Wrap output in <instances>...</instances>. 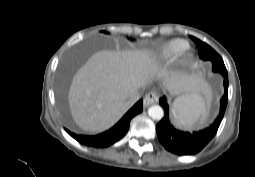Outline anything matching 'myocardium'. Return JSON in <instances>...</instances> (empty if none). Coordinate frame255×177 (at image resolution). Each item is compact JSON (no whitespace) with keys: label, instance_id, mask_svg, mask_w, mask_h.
Returning <instances> with one entry per match:
<instances>
[{"label":"myocardium","instance_id":"1","mask_svg":"<svg viewBox=\"0 0 255 177\" xmlns=\"http://www.w3.org/2000/svg\"><path fill=\"white\" fill-rule=\"evenodd\" d=\"M180 57V67L187 68L190 66L193 60V52L191 51L190 47L187 46L179 55Z\"/></svg>","mask_w":255,"mask_h":177}]
</instances>
